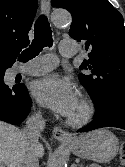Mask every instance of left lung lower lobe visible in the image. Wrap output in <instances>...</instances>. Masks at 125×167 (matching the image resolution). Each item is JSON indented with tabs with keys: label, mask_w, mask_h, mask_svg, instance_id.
I'll use <instances>...</instances> for the list:
<instances>
[{
	"label": "left lung lower lobe",
	"mask_w": 125,
	"mask_h": 167,
	"mask_svg": "<svg viewBox=\"0 0 125 167\" xmlns=\"http://www.w3.org/2000/svg\"><path fill=\"white\" fill-rule=\"evenodd\" d=\"M93 121L77 132H88L103 127L125 129V93L106 95L99 104Z\"/></svg>",
	"instance_id": "0a47b994"
}]
</instances>
